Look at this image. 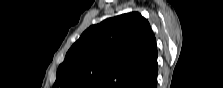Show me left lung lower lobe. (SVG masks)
<instances>
[{
	"instance_id": "obj_1",
	"label": "left lung lower lobe",
	"mask_w": 223,
	"mask_h": 88,
	"mask_svg": "<svg viewBox=\"0 0 223 88\" xmlns=\"http://www.w3.org/2000/svg\"><path fill=\"white\" fill-rule=\"evenodd\" d=\"M158 65H154L144 76L134 82L130 88H157Z\"/></svg>"
}]
</instances>
